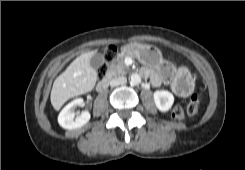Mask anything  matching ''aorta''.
<instances>
[{"label": "aorta", "mask_w": 245, "mask_h": 170, "mask_svg": "<svg viewBox=\"0 0 245 170\" xmlns=\"http://www.w3.org/2000/svg\"><path fill=\"white\" fill-rule=\"evenodd\" d=\"M130 82L131 84L133 85H137L141 82V77L140 75L136 74V73H133L131 76H130Z\"/></svg>", "instance_id": "762f6f07"}]
</instances>
